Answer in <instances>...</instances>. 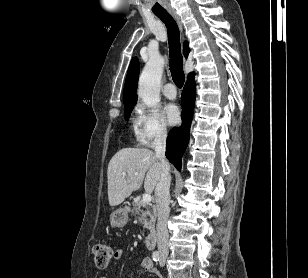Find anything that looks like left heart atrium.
Masks as SVG:
<instances>
[{"instance_id":"39dd6f15","label":"left heart atrium","mask_w":308,"mask_h":278,"mask_svg":"<svg viewBox=\"0 0 308 278\" xmlns=\"http://www.w3.org/2000/svg\"><path fill=\"white\" fill-rule=\"evenodd\" d=\"M164 114L167 122L171 125L177 124L180 120V110L174 104H167L164 107Z\"/></svg>"}]
</instances>
